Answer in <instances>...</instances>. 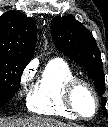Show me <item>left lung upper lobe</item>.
<instances>
[{"label": "left lung upper lobe", "instance_id": "1", "mask_svg": "<svg viewBox=\"0 0 108 127\" xmlns=\"http://www.w3.org/2000/svg\"><path fill=\"white\" fill-rule=\"evenodd\" d=\"M51 32L56 47L69 58L84 66L103 96L105 76L100 51L92 34L73 16L55 17L51 22ZM105 106L106 99H102ZM104 113L107 115L105 108Z\"/></svg>", "mask_w": 108, "mask_h": 127}]
</instances>
